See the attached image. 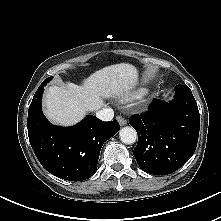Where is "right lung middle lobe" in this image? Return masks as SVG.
I'll return each instance as SVG.
<instances>
[{
  "instance_id": "obj_1",
  "label": "right lung middle lobe",
  "mask_w": 221,
  "mask_h": 221,
  "mask_svg": "<svg viewBox=\"0 0 221 221\" xmlns=\"http://www.w3.org/2000/svg\"><path fill=\"white\" fill-rule=\"evenodd\" d=\"M52 77H49L46 79V82H49L51 80Z\"/></svg>"
}]
</instances>
